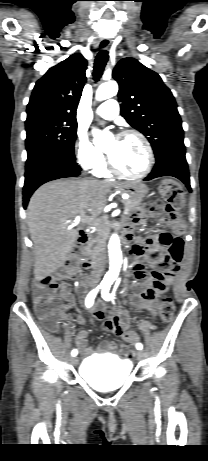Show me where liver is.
<instances>
[{"label": "liver", "instance_id": "obj_1", "mask_svg": "<svg viewBox=\"0 0 208 461\" xmlns=\"http://www.w3.org/2000/svg\"><path fill=\"white\" fill-rule=\"evenodd\" d=\"M121 184L60 179L39 187L27 208V223L34 248V276L37 281L60 268L71 252L78 232L72 227L80 219L99 215L107 204L111 188Z\"/></svg>", "mask_w": 208, "mask_h": 461}]
</instances>
